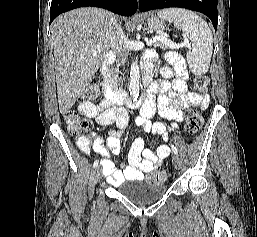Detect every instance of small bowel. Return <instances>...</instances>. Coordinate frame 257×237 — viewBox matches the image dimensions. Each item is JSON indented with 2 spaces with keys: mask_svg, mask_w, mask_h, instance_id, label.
<instances>
[{
  "mask_svg": "<svg viewBox=\"0 0 257 237\" xmlns=\"http://www.w3.org/2000/svg\"><path fill=\"white\" fill-rule=\"evenodd\" d=\"M168 61L175 66L177 78L173 81L162 80L153 82L149 86V94L144 101L140 116L136 118L138 125H143L144 129L152 134L160 135L164 144L160 145L153 153L145 148L144 141L136 138L128 153V159L117 168L109 159L110 152L118 154L120 150V135L129 121V114L126 108L114 106L106 98L100 100L97 104L82 101L78 105L79 112L88 118H92L98 125L108 126L116 124L118 130H112L109 133L106 144L100 136L91 134V136H80L77 139V146L83 153H90L94 150L102 156L101 166L107 181L117 186L125 180H141L145 173L152 172L159 168L170 153L166 144L168 140V128L163 122L151 121V118L158 112L163 118L170 120L173 127L183 121V110L188 107L206 108L209 104V97L206 94L188 92L187 77L188 74L180 58L175 54H168ZM145 66L152 74V65L147 59ZM160 93L158 97L155 95Z\"/></svg>",
  "mask_w": 257,
  "mask_h": 237,
  "instance_id": "c3829d8e",
  "label": "small bowel"
}]
</instances>
